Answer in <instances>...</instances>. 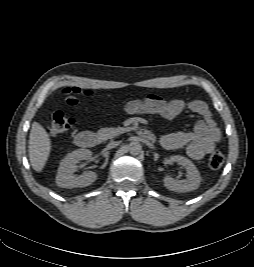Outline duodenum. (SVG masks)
Returning <instances> with one entry per match:
<instances>
[{"instance_id": "1", "label": "duodenum", "mask_w": 254, "mask_h": 267, "mask_svg": "<svg viewBox=\"0 0 254 267\" xmlns=\"http://www.w3.org/2000/svg\"><path fill=\"white\" fill-rule=\"evenodd\" d=\"M138 134L141 138L154 141L155 135L146 129H140ZM75 143L82 148H92L98 145L99 137L92 131H81L75 136Z\"/></svg>"}]
</instances>
